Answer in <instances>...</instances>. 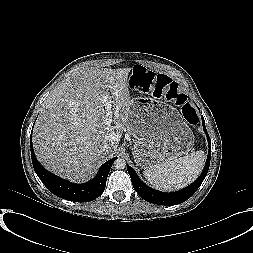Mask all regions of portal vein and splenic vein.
<instances>
[{"mask_svg": "<svg viewBox=\"0 0 253 253\" xmlns=\"http://www.w3.org/2000/svg\"><path fill=\"white\" fill-rule=\"evenodd\" d=\"M109 106H111V104H109ZM112 117H113V111L111 110V107H109L108 112L102 119V123L104 125H110L112 123Z\"/></svg>", "mask_w": 253, "mask_h": 253, "instance_id": "portal-vein-and-splenic-vein-1", "label": "portal vein and splenic vein"}]
</instances>
